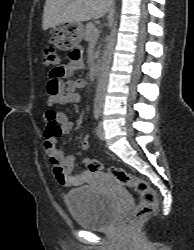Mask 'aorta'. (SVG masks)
Segmentation results:
<instances>
[{
    "mask_svg": "<svg viewBox=\"0 0 194 250\" xmlns=\"http://www.w3.org/2000/svg\"><path fill=\"white\" fill-rule=\"evenodd\" d=\"M117 19H118V15L116 13L114 20H113L110 35L107 38L106 47H105L102 61H101L100 73H99L97 87H96V95L94 99V112L96 114L101 113L102 108H103L106 86L108 82V75H109V70H110V64L112 61V55H113L115 41H116Z\"/></svg>",
    "mask_w": 194,
    "mask_h": 250,
    "instance_id": "obj_1",
    "label": "aorta"
}]
</instances>
